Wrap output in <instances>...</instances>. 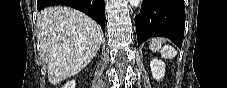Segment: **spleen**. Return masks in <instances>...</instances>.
I'll return each instance as SVG.
<instances>
[{
  "mask_svg": "<svg viewBox=\"0 0 227 88\" xmlns=\"http://www.w3.org/2000/svg\"><path fill=\"white\" fill-rule=\"evenodd\" d=\"M165 42L162 38H153L149 43V49L153 52L159 51L161 56L165 59H173L177 55V51L169 45L162 47V44Z\"/></svg>",
  "mask_w": 227,
  "mask_h": 88,
  "instance_id": "obj_1",
  "label": "spleen"
}]
</instances>
